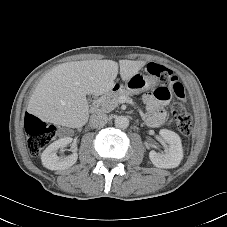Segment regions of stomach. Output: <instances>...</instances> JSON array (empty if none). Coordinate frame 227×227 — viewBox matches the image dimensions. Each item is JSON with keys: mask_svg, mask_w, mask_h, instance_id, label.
<instances>
[{"mask_svg": "<svg viewBox=\"0 0 227 227\" xmlns=\"http://www.w3.org/2000/svg\"><path fill=\"white\" fill-rule=\"evenodd\" d=\"M156 84L154 76H146L143 73H136L129 80L126 81L125 86L117 85L118 87H125L129 92L138 94L149 90Z\"/></svg>", "mask_w": 227, "mask_h": 227, "instance_id": "1", "label": "stomach"}]
</instances>
